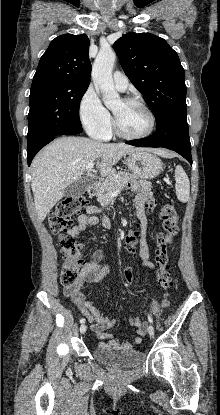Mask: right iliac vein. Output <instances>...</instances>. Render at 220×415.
Segmentation results:
<instances>
[{"label":"right iliac vein","mask_w":220,"mask_h":415,"mask_svg":"<svg viewBox=\"0 0 220 415\" xmlns=\"http://www.w3.org/2000/svg\"><path fill=\"white\" fill-rule=\"evenodd\" d=\"M86 330H87V326H86L85 324H82V325L80 326V333H81V334H84V333L86 332Z\"/></svg>","instance_id":"right-iliac-vein-1"}]
</instances>
